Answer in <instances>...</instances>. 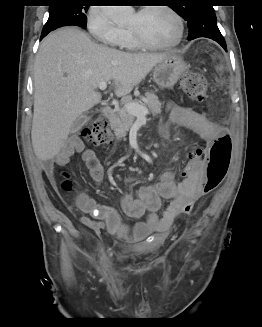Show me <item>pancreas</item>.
I'll list each match as a JSON object with an SVG mask.
<instances>
[{
  "label": "pancreas",
  "instance_id": "pancreas-1",
  "mask_svg": "<svg viewBox=\"0 0 262 327\" xmlns=\"http://www.w3.org/2000/svg\"><path fill=\"white\" fill-rule=\"evenodd\" d=\"M132 102L148 108L153 115L161 113V102L154 93L147 92L141 100L135 99ZM122 103H128V99L124 98ZM134 120L135 115L129 113L125 107L118 108L114 111L113 117L110 119V126L114 130L118 140L126 136Z\"/></svg>",
  "mask_w": 262,
  "mask_h": 327
}]
</instances>
